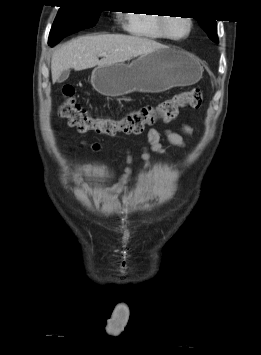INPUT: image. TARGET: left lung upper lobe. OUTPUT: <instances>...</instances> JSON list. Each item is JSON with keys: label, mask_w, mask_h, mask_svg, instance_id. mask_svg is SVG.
I'll return each instance as SVG.
<instances>
[{"label": "left lung upper lobe", "mask_w": 261, "mask_h": 355, "mask_svg": "<svg viewBox=\"0 0 261 355\" xmlns=\"http://www.w3.org/2000/svg\"><path fill=\"white\" fill-rule=\"evenodd\" d=\"M201 27L208 34L209 38L218 43L216 20L197 19Z\"/></svg>", "instance_id": "left-lung-upper-lobe-1"}]
</instances>
